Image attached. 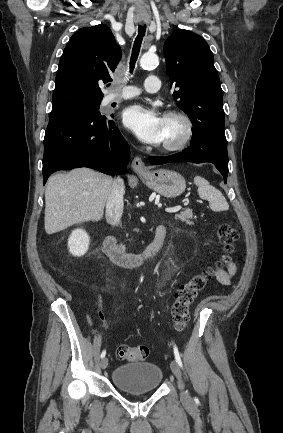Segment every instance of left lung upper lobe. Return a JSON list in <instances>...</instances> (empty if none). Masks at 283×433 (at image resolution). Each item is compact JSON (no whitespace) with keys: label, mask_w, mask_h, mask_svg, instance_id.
<instances>
[{"label":"left lung upper lobe","mask_w":283,"mask_h":433,"mask_svg":"<svg viewBox=\"0 0 283 433\" xmlns=\"http://www.w3.org/2000/svg\"><path fill=\"white\" fill-rule=\"evenodd\" d=\"M164 56L170 82L177 88L174 100L194 128L224 129L223 92L207 42L191 31L177 29L164 44Z\"/></svg>","instance_id":"obj_1"}]
</instances>
